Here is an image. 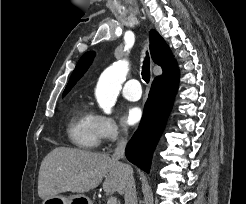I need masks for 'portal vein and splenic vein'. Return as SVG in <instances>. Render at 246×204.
<instances>
[{
    "label": "portal vein and splenic vein",
    "instance_id": "1",
    "mask_svg": "<svg viewBox=\"0 0 246 204\" xmlns=\"http://www.w3.org/2000/svg\"><path fill=\"white\" fill-rule=\"evenodd\" d=\"M107 204H117V198L116 197L109 198Z\"/></svg>",
    "mask_w": 246,
    "mask_h": 204
}]
</instances>
